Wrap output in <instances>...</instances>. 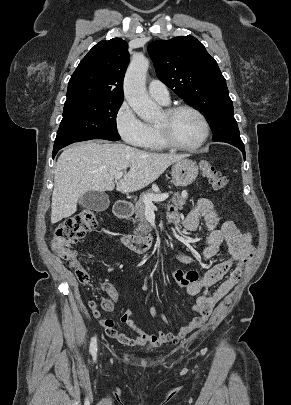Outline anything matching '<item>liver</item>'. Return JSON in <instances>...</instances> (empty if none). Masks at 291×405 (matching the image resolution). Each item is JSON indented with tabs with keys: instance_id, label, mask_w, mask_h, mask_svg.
<instances>
[{
	"instance_id": "liver-1",
	"label": "liver",
	"mask_w": 291,
	"mask_h": 405,
	"mask_svg": "<svg viewBox=\"0 0 291 405\" xmlns=\"http://www.w3.org/2000/svg\"><path fill=\"white\" fill-rule=\"evenodd\" d=\"M185 155L160 154L121 143L85 142L66 148L54 171L51 222L55 224L77 211V202L87 191L105 192L115 188L117 172L130 168L116 182V190L129 193L154 182L171 164Z\"/></svg>"
}]
</instances>
